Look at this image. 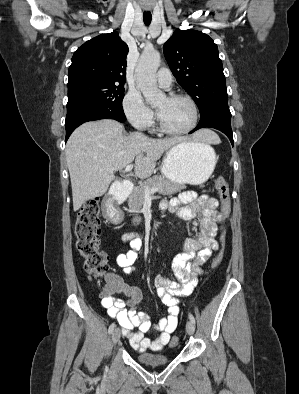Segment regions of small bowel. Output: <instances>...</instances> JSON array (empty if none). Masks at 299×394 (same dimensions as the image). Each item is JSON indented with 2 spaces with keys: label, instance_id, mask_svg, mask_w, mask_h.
Listing matches in <instances>:
<instances>
[{
  "label": "small bowel",
  "instance_id": "obj_1",
  "mask_svg": "<svg viewBox=\"0 0 299 394\" xmlns=\"http://www.w3.org/2000/svg\"><path fill=\"white\" fill-rule=\"evenodd\" d=\"M162 209L170 210L182 220L194 221L196 234L183 241V252L172 261V270L176 281L162 276L154 278V286L158 297L168 308V315L158 324L152 325L149 315L137 311L142 300V292L138 287L119 281L118 294L126 296V300L110 297L102 300V306L111 318L122 326L123 334L129 339L131 346L143 353L147 350L159 351L170 341L178 323L180 298L191 294L197 284V277L202 273V266L208 261L219 245L215 240L218 230H223V218L219 212V202L209 195H198L194 191H185L169 201L162 203ZM142 247V238L133 237L129 241V249L116 256V262L125 272H130L138 259V250ZM158 332L155 339L145 336L149 331Z\"/></svg>",
  "mask_w": 299,
  "mask_h": 394
}]
</instances>
